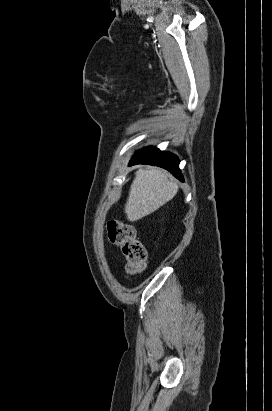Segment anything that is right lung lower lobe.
Segmentation results:
<instances>
[{
	"label": "right lung lower lobe",
	"mask_w": 272,
	"mask_h": 411,
	"mask_svg": "<svg viewBox=\"0 0 272 411\" xmlns=\"http://www.w3.org/2000/svg\"><path fill=\"white\" fill-rule=\"evenodd\" d=\"M140 163L162 167L170 171L177 179L183 181V176L179 170V160L177 156L170 152L160 151L156 147L143 148L133 156L129 165Z\"/></svg>",
	"instance_id": "98d812e1"
}]
</instances>
